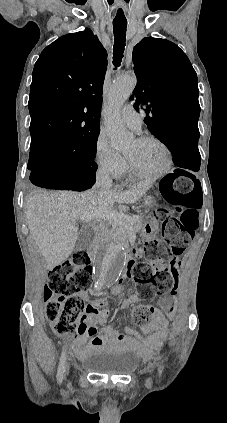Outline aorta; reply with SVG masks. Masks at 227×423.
Listing matches in <instances>:
<instances>
[{"instance_id":"1","label":"aorta","mask_w":227,"mask_h":423,"mask_svg":"<svg viewBox=\"0 0 227 423\" xmlns=\"http://www.w3.org/2000/svg\"><path fill=\"white\" fill-rule=\"evenodd\" d=\"M136 85V78L131 75H119L113 81L108 93V106L104 120L111 146L121 150L130 145L132 134L125 128L120 119V108L130 97ZM124 267V248L120 241L102 244L94 258V276L100 286L115 283Z\"/></svg>"}]
</instances>
